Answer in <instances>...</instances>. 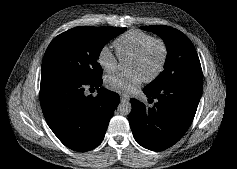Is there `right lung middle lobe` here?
<instances>
[{"label": "right lung middle lobe", "mask_w": 237, "mask_h": 169, "mask_svg": "<svg viewBox=\"0 0 237 169\" xmlns=\"http://www.w3.org/2000/svg\"><path fill=\"white\" fill-rule=\"evenodd\" d=\"M126 28L75 27L55 37L48 46L42 75L72 77L84 81L98 80L102 68L97 62L105 44Z\"/></svg>", "instance_id": "right-lung-middle-lobe-1"}]
</instances>
